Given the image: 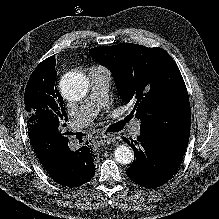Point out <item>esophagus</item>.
<instances>
[{
    "label": "esophagus",
    "mask_w": 219,
    "mask_h": 219,
    "mask_svg": "<svg viewBox=\"0 0 219 219\" xmlns=\"http://www.w3.org/2000/svg\"><path fill=\"white\" fill-rule=\"evenodd\" d=\"M115 141H116V138L113 135L102 134L99 136V142L101 145H107Z\"/></svg>",
    "instance_id": "obj_1"
}]
</instances>
